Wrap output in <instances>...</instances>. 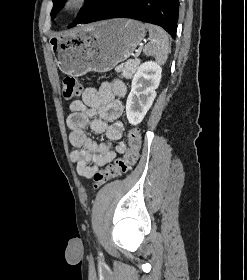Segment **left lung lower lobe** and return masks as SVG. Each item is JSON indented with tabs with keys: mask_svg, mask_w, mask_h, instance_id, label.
I'll return each instance as SVG.
<instances>
[{
	"mask_svg": "<svg viewBox=\"0 0 247 280\" xmlns=\"http://www.w3.org/2000/svg\"><path fill=\"white\" fill-rule=\"evenodd\" d=\"M178 16L179 0H107L77 24L110 18H132L159 25L175 38ZM73 26L74 23L69 27Z\"/></svg>",
	"mask_w": 247,
	"mask_h": 280,
	"instance_id": "left-lung-lower-lobe-1",
	"label": "left lung lower lobe"
}]
</instances>
